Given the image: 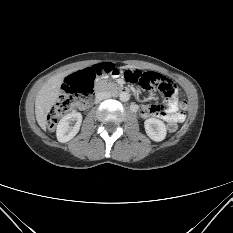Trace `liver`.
I'll list each match as a JSON object with an SVG mask.
<instances>
[{"mask_svg": "<svg viewBox=\"0 0 233 233\" xmlns=\"http://www.w3.org/2000/svg\"><path fill=\"white\" fill-rule=\"evenodd\" d=\"M124 68H130V66H125ZM72 71L54 75L45 82L36 95L35 115L39 126L43 130L46 129V118L58 98L61 84L63 83L64 78Z\"/></svg>", "mask_w": 233, "mask_h": 233, "instance_id": "6515ba94", "label": "liver"}]
</instances>
